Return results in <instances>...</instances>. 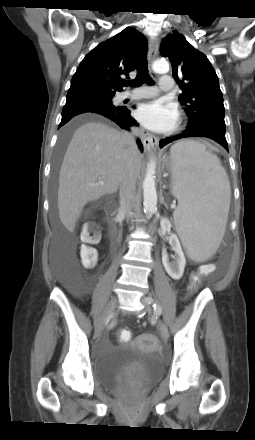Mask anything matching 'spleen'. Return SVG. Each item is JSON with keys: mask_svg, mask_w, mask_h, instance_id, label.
<instances>
[{"mask_svg": "<svg viewBox=\"0 0 255 440\" xmlns=\"http://www.w3.org/2000/svg\"><path fill=\"white\" fill-rule=\"evenodd\" d=\"M172 193L177 233L195 261H204L218 249L225 233L231 198L230 183L219 158L196 141L171 147Z\"/></svg>", "mask_w": 255, "mask_h": 440, "instance_id": "3e777b00", "label": "spleen"}]
</instances>
